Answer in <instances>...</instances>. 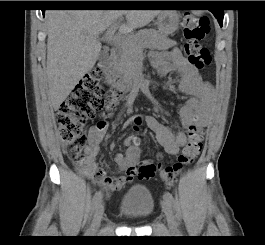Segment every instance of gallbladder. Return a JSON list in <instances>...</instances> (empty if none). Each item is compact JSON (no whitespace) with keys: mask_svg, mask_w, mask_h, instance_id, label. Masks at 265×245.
<instances>
[{"mask_svg":"<svg viewBox=\"0 0 265 245\" xmlns=\"http://www.w3.org/2000/svg\"><path fill=\"white\" fill-rule=\"evenodd\" d=\"M99 55H100V57H105L106 53L105 52H101Z\"/></svg>","mask_w":265,"mask_h":245,"instance_id":"obj_1","label":"gallbladder"}]
</instances>
